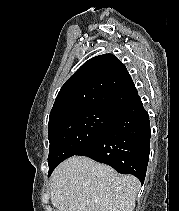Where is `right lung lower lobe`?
<instances>
[{
	"mask_svg": "<svg viewBox=\"0 0 179 211\" xmlns=\"http://www.w3.org/2000/svg\"><path fill=\"white\" fill-rule=\"evenodd\" d=\"M150 137L149 115L137 94L117 111L116 117L94 142L75 155L108 164L119 173L132 174L143 184Z\"/></svg>",
	"mask_w": 179,
	"mask_h": 211,
	"instance_id": "obj_1",
	"label": "right lung lower lobe"
}]
</instances>
